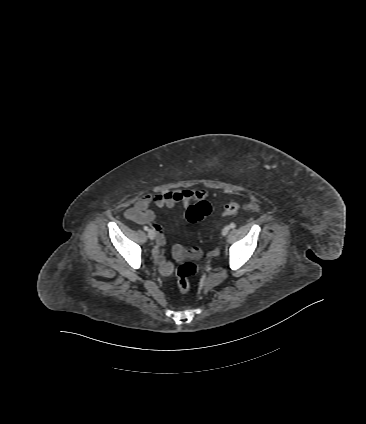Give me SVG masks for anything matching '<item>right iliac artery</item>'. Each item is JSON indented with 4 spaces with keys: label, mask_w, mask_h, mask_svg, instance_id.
Instances as JSON below:
<instances>
[{
    "label": "right iliac artery",
    "mask_w": 366,
    "mask_h": 424,
    "mask_svg": "<svg viewBox=\"0 0 366 424\" xmlns=\"http://www.w3.org/2000/svg\"><path fill=\"white\" fill-rule=\"evenodd\" d=\"M143 229H144L145 231H148V230H149V228H148L147 226H144V227H143Z\"/></svg>",
    "instance_id": "1"
}]
</instances>
